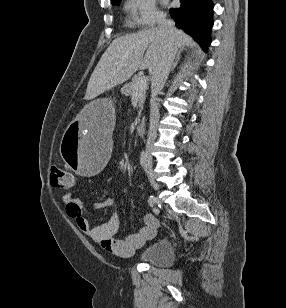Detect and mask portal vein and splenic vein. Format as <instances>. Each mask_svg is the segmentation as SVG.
<instances>
[{
    "instance_id": "portal-vein-and-splenic-vein-1",
    "label": "portal vein and splenic vein",
    "mask_w": 286,
    "mask_h": 308,
    "mask_svg": "<svg viewBox=\"0 0 286 308\" xmlns=\"http://www.w3.org/2000/svg\"><path fill=\"white\" fill-rule=\"evenodd\" d=\"M147 76L143 75L138 78L134 86V96H137L147 86Z\"/></svg>"
}]
</instances>
